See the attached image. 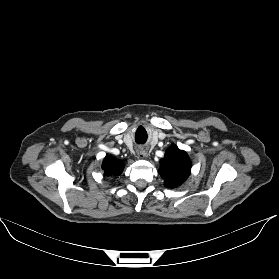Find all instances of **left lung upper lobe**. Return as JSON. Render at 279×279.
I'll return each mask as SVG.
<instances>
[{"label":"left lung upper lobe","instance_id":"obj_1","mask_svg":"<svg viewBox=\"0 0 279 279\" xmlns=\"http://www.w3.org/2000/svg\"><path fill=\"white\" fill-rule=\"evenodd\" d=\"M160 165L158 172L164 179V184L167 188L178 187L190 174L191 161L187 153L179 150L176 145H171L166 150Z\"/></svg>","mask_w":279,"mask_h":279}]
</instances>
